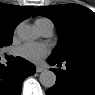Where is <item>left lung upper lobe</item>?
<instances>
[{
    "label": "left lung upper lobe",
    "instance_id": "1",
    "mask_svg": "<svg viewBox=\"0 0 95 95\" xmlns=\"http://www.w3.org/2000/svg\"><path fill=\"white\" fill-rule=\"evenodd\" d=\"M50 18L59 33L52 58L59 61L95 60V13L78 4L43 6L33 16Z\"/></svg>",
    "mask_w": 95,
    "mask_h": 95
}]
</instances>
